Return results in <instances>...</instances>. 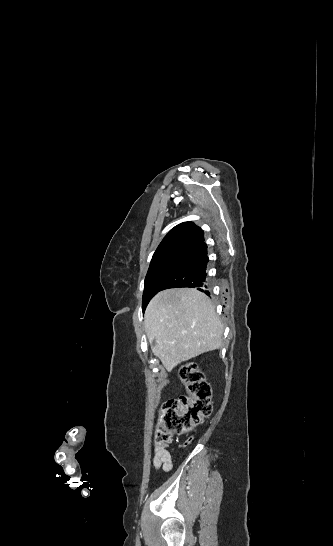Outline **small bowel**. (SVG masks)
<instances>
[{"label":"small bowel","instance_id":"1","mask_svg":"<svg viewBox=\"0 0 333 546\" xmlns=\"http://www.w3.org/2000/svg\"><path fill=\"white\" fill-rule=\"evenodd\" d=\"M153 467L155 470L162 469L168 472L172 468L171 455L166 447L156 445L154 448Z\"/></svg>","mask_w":333,"mask_h":546}]
</instances>
